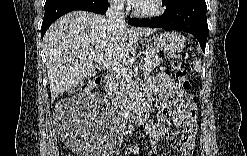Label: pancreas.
<instances>
[{
  "mask_svg": "<svg viewBox=\"0 0 247 156\" xmlns=\"http://www.w3.org/2000/svg\"><path fill=\"white\" fill-rule=\"evenodd\" d=\"M161 62L162 59H160L156 53H146L144 57V64L142 67L144 75H149L155 67L161 64ZM115 78L117 80L116 87L119 88V91L121 93H127L129 91H132L135 87L134 82L127 75H116Z\"/></svg>",
  "mask_w": 247,
  "mask_h": 156,
  "instance_id": "cf45deb5",
  "label": "pancreas"
}]
</instances>
